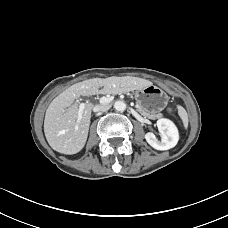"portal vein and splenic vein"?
Instances as JSON below:
<instances>
[{
    "instance_id": "obj_1",
    "label": "portal vein and splenic vein",
    "mask_w": 228,
    "mask_h": 228,
    "mask_svg": "<svg viewBox=\"0 0 228 228\" xmlns=\"http://www.w3.org/2000/svg\"><path fill=\"white\" fill-rule=\"evenodd\" d=\"M113 100V97L112 96H103L100 98V102L101 103H109ZM85 108V103H80L79 105V111H78V117H77V122H79L82 118V113H83V110Z\"/></svg>"
}]
</instances>
